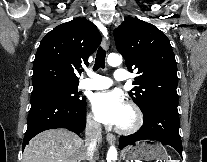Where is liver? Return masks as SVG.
Segmentation results:
<instances>
[{"label":"liver","instance_id":"6515ba94","mask_svg":"<svg viewBox=\"0 0 207 162\" xmlns=\"http://www.w3.org/2000/svg\"><path fill=\"white\" fill-rule=\"evenodd\" d=\"M87 145L67 129H50L26 145L22 162H80L87 157Z\"/></svg>","mask_w":207,"mask_h":162}]
</instances>
